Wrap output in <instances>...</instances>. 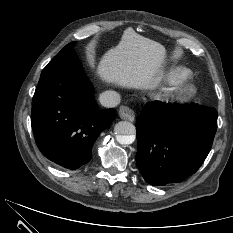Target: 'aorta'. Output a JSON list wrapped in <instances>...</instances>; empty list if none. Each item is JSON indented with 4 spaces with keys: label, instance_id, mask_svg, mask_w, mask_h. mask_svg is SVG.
<instances>
[{
    "label": "aorta",
    "instance_id": "1",
    "mask_svg": "<svg viewBox=\"0 0 233 233\" xmlns=\"http://www.w3.org/2000/svg\"><path fill=\"white\" fill-rule=\"evenodd\" d=\"M114 131L116 134V140L120 144H132L135 140L136 128L131 122H118L114 127Z\"/></svg>",
    "mask_w": 233,
    "mask_h": 233
}]
</instances>
